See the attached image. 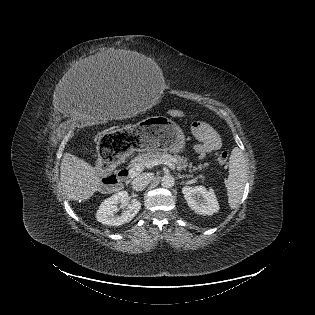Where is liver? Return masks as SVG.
Wrapping results in <instances>:
<instances>
[{
	"label": "liver",
	"instance_id": "liver-1",
	"mask_svg": "<svg viewBox=\"0 0 315 315\" xmlns=\"http://www.w3.org/2000/svg\"><path fill=\"white\" fill-rule=\"evenodd\" d=\"M125 53H117L116 55L100 54L90 56L79 64L80 71L85 72L86 69L96 73L101 69H119L118 58ZM126 113V111H124ZM127 114V113H126ZM60 181L63 192L68 200L86 201L90 199L102 187L100 170L91 166L83 159L71 153H64L60 166Z\"/></svg>",
	"mask_w": 315,
	"mask_h": 315
}]
</instances>
